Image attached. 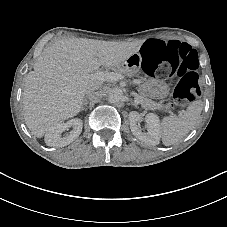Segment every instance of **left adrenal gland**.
Masks as SVG:
<instances>
[{"mask_svg": "<svg viewBox=\"0 0 227 227\" xmlns=\"http://www.w3.org/2000/svg\"><path fill=\"white\" fill-rule=\"evenodd\" d=\"M133 105H134L135 107H137V106H138L136 103H133Z\"/></svg>", "mask_w": 227, "mask_h": 227, "instance_id": "1", "label": "left adrenal gland"}]
</instances>
